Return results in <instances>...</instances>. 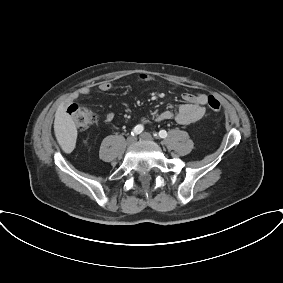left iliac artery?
Segmentation results:
<instances>
[{"label": "left iliac artery", "instance_id": "left-iliac-artery-1", "mask_svg": "<svg viewBox=\"0 0 283 283\" xmlns=\"http://www.w3.org/2000/svg\"><path fill=\"white\" fill-rule=\"evenodd\" d=\"M154 136L160 137V138H166L167 137V132L165 130H160L158 135L154 134Z\"/></svg>", "mask_w": 283, "mask_h": 283}]
</instances>
